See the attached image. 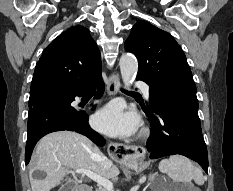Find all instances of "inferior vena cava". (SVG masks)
Segmentation results:
<instances>
[{
    "mask_svg": "<svg viewBox=\"0 0 233 191\" xmlns=\"http://www.w3.org/2000/svg\"><path fill=\"white\" fill-rule=\"evenodd\" d=\"M100 164L105 168H110L112 166V162L110 160H108L105 156H103L100 159Z\"/></svg>",
    "mask_w": 233,
    "mask_h": 191,
    "instance_id": "1",
    "label": "inferior vena cava"
}]
</instances>
